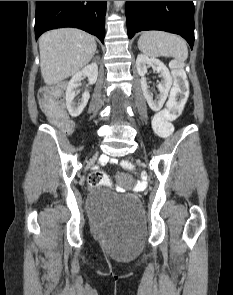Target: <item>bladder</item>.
<instances>
[{
    "instance_id": "31cf9c89",
    "label": "bladder",
    "mask_w": 233,
    "mask_h": 295,
    "mask_svg": "<svg viewBox=\"0 0 233 295\" xmlns=\"http://www.w3.org/2000/svg\"><path fill=\"white\" fill-rule=\"evenodd\" d=\"M87 209L95 220L101 221L109 217L140 213L141 206L132 195H118L96 187L87 198Z\"/></svg>"
}]
</instances>
